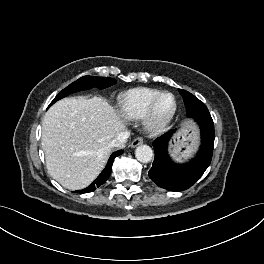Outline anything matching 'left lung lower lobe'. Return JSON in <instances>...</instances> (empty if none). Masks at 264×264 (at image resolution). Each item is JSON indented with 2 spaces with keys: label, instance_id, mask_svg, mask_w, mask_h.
I'll return each instance as SVG.
<instances>
[{
  "label": "left lung lower lobe",
  "instance_id": "1",
  "mask_svg": "<svg viewBox=\"0 0 264 264\" xmlns=\"http://www.w3.org/2000/svg\"><path fill=\"white\" fill-rule=\"evenodd\" d=\"M201 128L202 144L197 156L188 164H176L168 157L167 146L173 130L157 138L154 143L155 158L149 170V178L159 187L169 191L190 188L209 166L214 147V123L211 115L194 118Z\"/></svg>",
  "mask_w": 264,
  "mask_h": 264
}]
</instances>
